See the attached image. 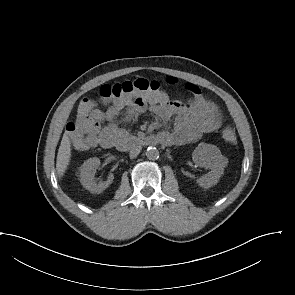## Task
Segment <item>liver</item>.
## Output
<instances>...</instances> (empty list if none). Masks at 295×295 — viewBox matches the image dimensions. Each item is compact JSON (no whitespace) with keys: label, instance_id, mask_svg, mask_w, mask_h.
<instances>
[{"label":"liver","instance_id":"6515ba94","mask_svg":"<svg viewBox=\"0 0 295 295\" xmlns=\"http://www.w3.org/2000/svg\"><path fill=\"white\" fill-rule=\"evenodd\" d=\"M71 158V142L64 134L57 154L56 169L59 177H62L67 170Z\"/></svg>","mask_w":295,"mask_h":295}]
</instances>
